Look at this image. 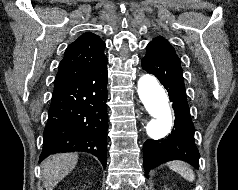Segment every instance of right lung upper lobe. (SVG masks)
I'll use <instances>...</instances> for the list:
<instances>
[{"label":"right lung upper lobe","instance_id":"right-lung-upper-lobe-1","mask_svg":"<svg viewBox=\"0 0 238 190\" xmlns=\"http://www.w3.org/2000/svg\"><path fill=\"white\" fill-rule=\"evenodd\" d=\"M105 43L99 36L86 32L70 44L59 64L54 89L66 85L95 70L107 61Z\"/></svg>","mask_w":238,"mask_h":190}]
</instances>
